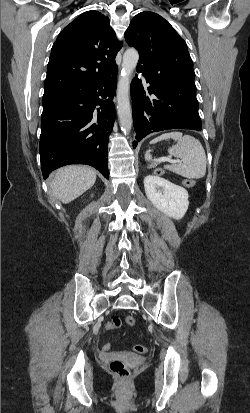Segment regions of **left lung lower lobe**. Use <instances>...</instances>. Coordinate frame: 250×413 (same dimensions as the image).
Here are the masks:
<instances>
[{
	"label": "left lung lower lobe",
	"instance_id": "obj_1",
	"mask_svg": "<svg viewBox=\"0 0 250 413\" xmlns=\"http://www.w3.org/2000/svg\"><path fill=\"white\" fill-rule=\"evenodd\" d=\"M142 73L149 84L144 88L136 76L131 83L133 125L137 141L146 135L168 129H202L198 113L196 86L194 82L183 83L167 78L156 81Z\"/></svg>",
	"mask_w": 250,
	"mask_h": 413
}]
</instances>
